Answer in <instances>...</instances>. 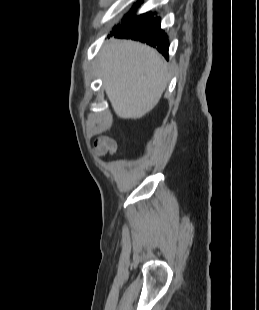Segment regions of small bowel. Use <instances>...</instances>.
<instances>
[{
	"label": "small bowel",
	"instance_id": "small-bowel-1",
	"mask_svg": "<svg viewBox=\"0 0 259 310\" xmlns=\"http://www.w3.org/2000/svg\"><path fill=\"white\" fill-rule=\"evenodd\" d=\"M115 150V145L107 138H99L96 140L94 146V154L98 157L107 154L108 152H113Z\"/></svg>",
	"mask_w": 259,
	"mask_h": 310
}]
</instances>
